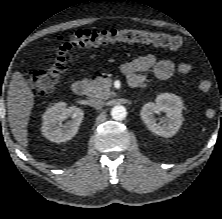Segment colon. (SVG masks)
I'll return each mask as SVG.
<instances>
[{
    "label": "colon",
    "mask_w": 222,
    "mask_h": 219,
    "mask_svg": "<svg viewBox=\"0 0 222 219\" xmlns=\"http://www.w3.org/2000/svg\"><path fill=\"white\" fill-rule=\"evenodd\" d=\"M112 42H142L178 50L184 47L181 36L166 33H153L139 29L106 28L100 30L82 29L57 39L51 49L50 66L44 70L31 71L27 81L37 94H46L55 89L64 77L66 71L67 53L79 47L100 46ZM213 87L210 79L204 78L198 82V89L208 93Z\"/></svg>",
    "instance_id": "1"
}]
</instances>
